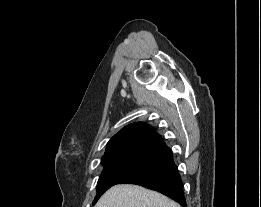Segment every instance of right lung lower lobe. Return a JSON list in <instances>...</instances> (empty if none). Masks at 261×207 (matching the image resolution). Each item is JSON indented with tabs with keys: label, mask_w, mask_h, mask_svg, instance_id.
<instances>
[{
	"label": "right lung lower lobe",
	"mask_w": 261,
	"mask_h": 207,
	"mask_svg": "<svg viewBox=\"0 0 261 207\" xmlns=\"http://www.w3.org/2000/svg\"><path fill=\"white\" fill-rule=\"evenodd\" d=\"M124 183L136 184L158 191L186 207L181 177L177 166L170 158Z\"/></svg>",
	"instance_id": "98d812e1"
}]
</instances>
